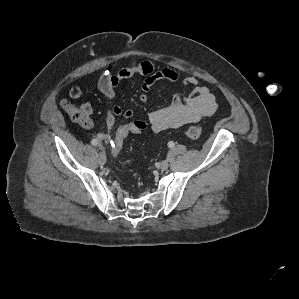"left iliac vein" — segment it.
I'll use <instances>...</instances> for the list:
<instances>
[{
  "instance_id": "4c4485c4",
  "label": "left iliac vein",
  "mask_w": 299,
  "mask_h": 299,
  "mask_svg": "<svg viewBox=\"0 0 299 299\" xmlns=\"http://www.w3.org/2000/svg\"><path fill=\"white\" fill-rule=\"evenodd\" d=\"M168 167H169V163H168L166 160H164V161H162V162L160 163V169H161V170L165 171V170L168 169Z\"/></svg>"
}]
</instances>
